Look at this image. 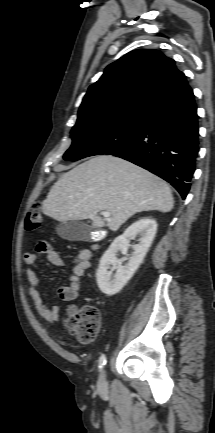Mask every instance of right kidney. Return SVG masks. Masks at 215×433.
<instances>
[{
	"mask_svg": "<svg viewBox=\"0 0 215 433\" xmlns=\"http://www.w3.org/2000/svg\"><path fill=\"white\" fill-rule=\"evenodd\" d=\"M156 231L157 223L155 220L147 217L141 218L111 243L103 254L96 273L98 287L104 294L114 295L118 293L131 279L148 252ZM137 235L140 236L138 244L133 246L134 252L128 258V263L122 266L121 260L117 259L116 255L118 252L127 255L129 242ZM111 265L116 268L113 279H111V271H109Z\"/></svg>",
	"mask_w": 215,
	"mask_h": 433,
	"instance_id": "right-kidney-1",
	"label": "right kidney"
}]
</instances>
